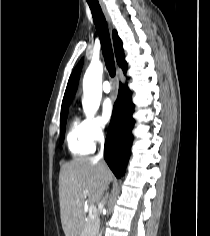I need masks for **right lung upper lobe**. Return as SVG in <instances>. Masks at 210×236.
I'll list each match as a JSON object with an SVG mask.
<instances>
[{
	"mask_svg": "<svg viewBox=\"0 0 210 236\" xmlns=\"http://www.w3.org/2000/svg\"><path fill=\"white\" fill-rule=\"evenodd\" d=\"M113 43H114V50H115L117 63L119 64V66L125 72L126 69H127V63L124 60V51H123V48H122V41L118 37V34L115 30L113 31ZM75 73H76V68H75V70L73 71V73L71 74V76L69 78L67 88H66V91H65V94H64L63 102H62L61 112H64V111L68 110V106H69L70 101H71V95H72L73 87H74Z\"/></svg>",
	"mask_w": 210,
	"mask_h": 236,
	"instance_id": "1",
	"label": "right lung upper lobe"
}]
</instances>
